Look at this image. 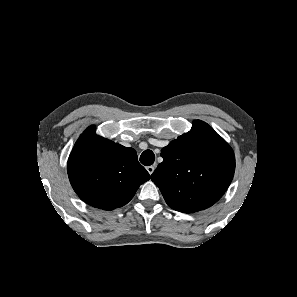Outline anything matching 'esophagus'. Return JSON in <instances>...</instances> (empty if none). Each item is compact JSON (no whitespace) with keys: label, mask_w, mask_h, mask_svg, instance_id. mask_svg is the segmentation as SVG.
Here are the masks:
<instances>
[{"label":"esophagus","mask_w":297,"mask_h":297,"mask_svg":"<svg viewBox=\"0 0 297 297\" xmlns=\"http://www.w3.org/2000/svg\"><path fill=\"white\" fill-rule=\"evenodd\" d=\"M146 170L151 175L154 172V170H155V166H153V165L152 166H148V167H146Z\"/></svg>","instance_id":"1"}]
</instances>
